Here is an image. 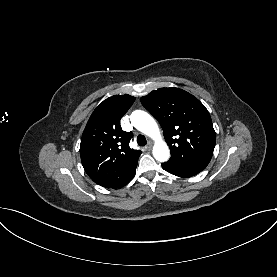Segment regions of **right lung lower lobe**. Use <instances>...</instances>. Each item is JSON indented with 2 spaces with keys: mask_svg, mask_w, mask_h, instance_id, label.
Segmentation results:
<instances>
[{
  "mask_svg": "<svg viewBox=\"0 0 277 277\" xmlns=\"http://www.w3.org/2000/svg\"><path fill=\"white\" fill-rule=\"evenodd\" d=\"M136 170L127 178V180L125 182L122 183V185H120L118 188H121L123 186H125L135 175Z\"/></svg>",
  "mask_w": 277,
  "mask_h": 277,
  "instance_id": "1",
  "label": "right lung lower lobe"
}]
</instances>
